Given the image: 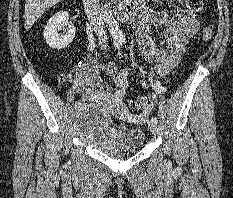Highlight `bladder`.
<instances>
[{"label":"bladder","mask_w":233,"mask_h":198,"mask_svg":"<svg viewBox=\"0 0 233 198\" xmlns=\"http://www.w3.org/2000/svg\"><path fill=\"white\" fill-rule=\"evenodd\" d=\"M78 133L99 152L122 157L138 152L145 140L140 127L111 126L107 113L98 105H85L78 113Z\"/></svg>","instance_id":"obj_1"}]
</instances>
